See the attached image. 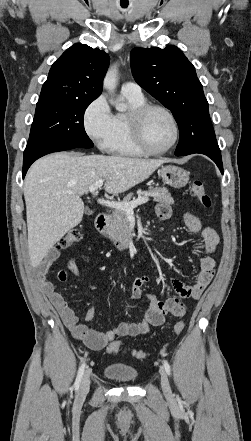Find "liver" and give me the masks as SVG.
<instances>
[{
	"mask_svg": "<svg viewBox=\"0 0 251 441\" xmlns=\"http://www.w3.org/2000/svg\"><path fill=\"white\" fill-rule=\"evenodd\" d=\"M167 159L54 153L37 160L24 182L28 250L33 267L83 218V194L106 179L105 191L118 194L147 179Z\"/></svg>",
	"mask_w": 251,
	"mask_h": 441,
	"instance_id": "liver-1",
	"label": "liver"
}]
</instances>
